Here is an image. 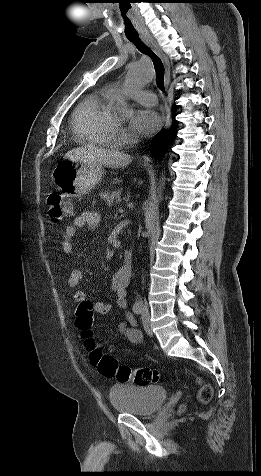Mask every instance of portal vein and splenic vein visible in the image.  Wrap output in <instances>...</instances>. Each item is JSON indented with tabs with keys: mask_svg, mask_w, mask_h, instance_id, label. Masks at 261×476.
Listing matches in <instances>:
<instances>
[{
	"mask_svg": "<svg viewBox=\"0 0 261 476\" xmlns=\"http://www.w3.org/2000/svg\"><path fill=\"white\" fill-rule=\"evenodd\" d=\"M119 212L122 213V212H123V209H120Z\"/></svg>",
	"mask_w": 261,
	"mask_h": 476,
	"instance_id": "portal-vein-and-splenic-vein-1",
	"label": "portal vein and splenic vein"
}]
</instances>
